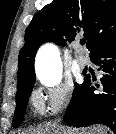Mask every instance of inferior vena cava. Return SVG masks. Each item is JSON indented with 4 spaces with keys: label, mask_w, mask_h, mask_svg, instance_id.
Wrapping results in <instances>:
<instances>
[{
    "label": "inferior vena cava",
    "mask_w": 116,
    "mask_h": 134,
    "mask_svg": "<svg viewBox=\"0 0 116 134\" xmlns=\"http://www.w3.org/2000/svg\"><path fill=\"white\" fill-rule=\"evenodd\" d=\"M59 122H60V120L57 121V123H59ZM57 127H61V126H57Z\"/></svg>",
    "instance_id": "602c4592"
}]
</instances>
